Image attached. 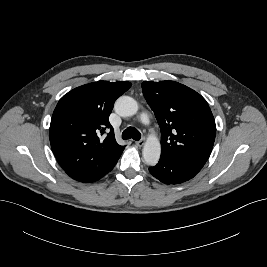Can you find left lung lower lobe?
<instances>
[{
    "instance_id": "obj_1",
    "label": "left lung lower lobe",
    "mask_w": 267,
    "mask_h": 267,
    "mask_svg": "<svg viewBox=\"0 0 267 267\" xmlns=\"http://www.w3.org/2000/svg\"><path fill=\"white\" fill-rule=\"evenodd\" d=\"M204 166L189 159L161 156L159 163L150 167V173L165 184H179L192 179Z\"/></svg>"
}]
</instances>
